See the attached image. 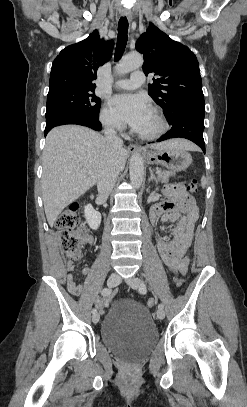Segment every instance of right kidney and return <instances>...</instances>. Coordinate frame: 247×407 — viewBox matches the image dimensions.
Listing matches in <instances>:
<instances>
[{"mask_svg":"<svg viewBox=\"0 0 247 407\" xmlns=\"http://www.w3.org/2000/svg\"><path fill=\"white\" fill-rule=\"evenodd\" d=\"M84 216L90 228L97 230L101 224V214L91 204L85 206Z\"/></svg>","mask_w":247,"mask_h":407,"instance_id":"obj_1","label":"right kidney"}]
</instances>
